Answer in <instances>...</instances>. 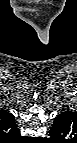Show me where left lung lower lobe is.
Returning a JSON list of instances; mask_svg holds the SVG:
<instances>
[{
  "instance_id": "1",
  "label": "left lung lower lobe",
  "mask_w": 77,
  "mask_h": 143,
  "mask_svg": "<svg viewBox=\"0 0 77 143\" xmlns=\"http://www.w3.org/2000/svg\"><path fill=\"white\" fill-rule=\"evenodd\" d=\"M73 113L71 111H66L64 113H61L60 115H58L56 118H55V122H58V121H64V120H67V119H70V117H72ZM50 135L52 137H56L57 135H52L50 133Z\"/></svg>"
}]
</instances>
